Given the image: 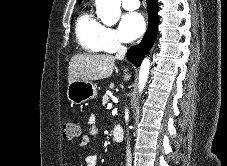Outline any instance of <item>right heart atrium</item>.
Returning a JSON list of instances; mask_svg holds the SVG:
<instances>
[{
    "label": "right heart atrium",
    "mask_w": 227,
    "mask_h": 166,
    "mask_svg": "<svg viewBox=\"0 0 227 166\" xmlns=\"http://www.w3.org/2000/svg\"><path fill=\"white\" fill-rule=\"evenodd\" d=\"M104 41V51L110 52L121 46V40L116 32V30L105 27V31L103 34Z\"/></svg>",
    "instance_id": "right-heart-atrium-1"
}]
</instances>
